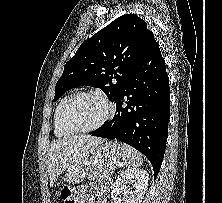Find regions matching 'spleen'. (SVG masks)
I'll return each mask as SVG.
<instances>
[{
  "label": "spleen",
  "mask_w": 222,
  "mask_h": 203,
  "mask_svg": "<svg viewBox=\"0 0 222 203\" xmlns=\"http://www.w3.org/2000/svg\"><path fill=\"white\" fill-rule=\"evenodd\" d=\"M124 148L126 152L125 163L128 167L135 168L143 164V158L140 152L127 144H124Z\"/></svg>",
  "instance_id": "3e777b00"
}]
</instances>
